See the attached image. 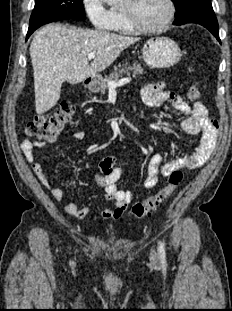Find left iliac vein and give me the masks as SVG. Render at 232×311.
Listing matches in <instances>:
<instances>
[{"label": "left iliac vein", "instance_id": "obj_1", "mask_svg": "<svg viewBox=\"0 0 232 311\" xmlns=\"http://www.w3.org/2000/svg\"><path fill=\"white\" fill-rule=\"evenodd\" d=\"M150 260L152 262H157V260H158L157 253H156V251L154 249H152L151 252H150Z\"/></svg>", "mask_w": 232, "mask_h": 311}]
</instances>
